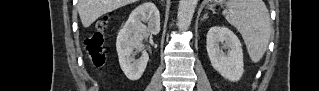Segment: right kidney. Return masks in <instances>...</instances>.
Here are the masks:
<instances>
[{"label":"right kidney","instance_id":"right-kidney-1","mask_svg":"<svg viewBox=\"0 0 319 91\" xmlns=\"http://www.w3.org/2000/svg\"><path fill=\"white\" fill-rule=\"evenodd\" d=\"M142 22H147L144 25ZM160 31V13L152 2H146L135 8L123 28L119 31L116 49L122 71L129 80L136 81L141 78L149 56L146 52L136 60L132 52L142 51V41L150 34L157 35Z\"/></svg>","mask_w":319,"mask_h":91}]
</instances>
